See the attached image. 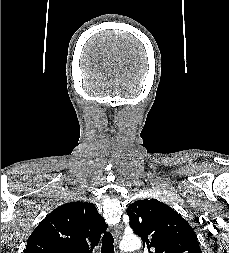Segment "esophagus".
Instances as JSON below:
<instances>
[{
	"mask_svg": "<svg viewBox=\"0 0 229 253\" xmlns=\"http://www.w3.org/2000/svg\"><path fill=\"white\" fill-rule=\"evenodd\" d=\"M122 232H123V228L121 225H117L114 228L113 234H114V238H115L116 243L120 242V240L122 238Z\"/></svg>",
	"mask_w": 229,
	"mask_h": 253,
	"instance_id": "34e87169",
	"label": "esophagus"
}]
</instances>
